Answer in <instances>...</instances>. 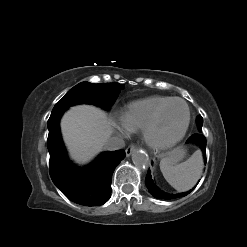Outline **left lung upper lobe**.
<instances>
[{
  "label": "left lung upper lobe",
  "mask_w": 247,
  "mask_h": 247,
  "mask_svg": "<svg viewBox=\"0 0 247 247\" xmlns=\"http://www.w3.org/2000/svg\"><path fill=\"white\" fill-rule=\"evenodd\" d=\"M197 123H198V129L201 132L202 131V125H203V118L201 115L197 116Z\"/></svg>",
  "instance_id": "left-lung-upper-lobe-1"
}]
</instances>
